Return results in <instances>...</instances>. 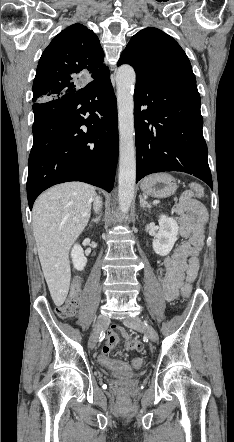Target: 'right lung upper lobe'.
<instances>
[{"label":"right lung upper lobe","instance_id":"cb5924a9","mask_svg":"<svg viewBox=\"0 0 234 442\" xmlns=\"http://www.w3.org/2000/svg\"><path fill=\"white\" fill-rule=\"evenodd\" d=\"M97 35L76 23L60 32L44 50L33 82V101L69 97L84 88L80 79L110 74Z\"/></svg>","mask_w":234,"mask_h":442}]
</instances>
